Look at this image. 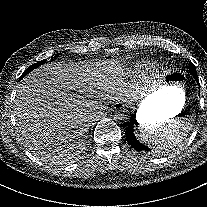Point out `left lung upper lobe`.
Instances as JSON below:
<instances>
[{
    "instance_id": "1",
    "label": "left lung upper lobe",
    "mask_w": 207,
    "mask_h": 207,
    "mask_svg": "<svg viewBox=\"0 0 207 207\" xmlns=\"http://www.w3.org/2000/svg\"><path fill=\"white\" fill-rule=\"evenodd\" d=\"M195 71H196V68H195L194 64L189 62V72L192 73V72H195Z\"/></svg>"
}]
</instances>
